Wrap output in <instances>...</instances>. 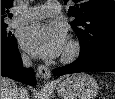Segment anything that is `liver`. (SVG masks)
<instances>
[{
	"label": "liver",
	"mask_w": 115,
	"mask_h": 99,
	"mask_svg": "<svg viewBox=\"0 0 115 99\" xmlns=\"http://www.w3.org/2000/svg\"><path fill=\"white\" fill-rule=\"evenodd\" d=\"M19 89L17 84L8 78L1 76V99H18ZM23 99H28V93L24 90Z\"/></svg>",
	"instance_id": "1"
}]
</instances>
